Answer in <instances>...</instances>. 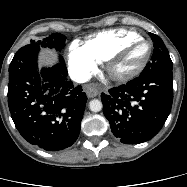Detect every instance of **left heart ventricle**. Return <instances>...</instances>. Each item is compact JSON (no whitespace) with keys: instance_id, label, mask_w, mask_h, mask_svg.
I'll return each mask as SVG.
<instances>
[{"instance_id":"left-heart-ventricle-1","label":"left heart ventricle","mask_w":187,"mask_h":187,"mask_svg":"<svg viewBox=\"0 0 187 187\" xmlns=\"http://www.w3.org/2000/svg\"><path fill=\"white\" fill-rule=\"evenodd\" d=\"M148 51V45L145 42H138L133 45L124 56L113 66V71L117 74H124L141 64Z\"/></svg>"}]
</instances>
